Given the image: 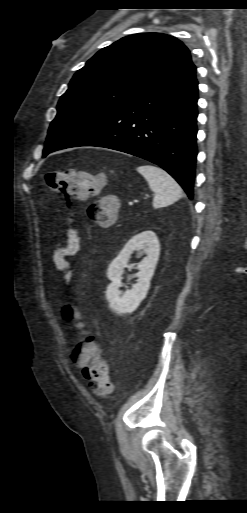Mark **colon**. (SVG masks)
Here are the masks:
<instances>
[{
	"label": "colon",
	"instance_id": "5ec220e1",
	"mask_svg": "<svg viewBox=\"0 0 247 513\" xmlns=\"http://www.w3.org/2000/svg\"><path fill=\"white\" fill-rule=\"evenodd\" d=\"M103 182L104 179L97 178L95 174L75 169L51 171L44 177L45 185L53 191L60 192L66 201L74 198L90 199ZM116 208L114 198L104 196L100 202H92L87 207V217L106 228L116 222ZM63 314L68 320L75 318L74 310L68 305L64 307ZM77 326L83 328L80 322ZM102 353V342L88 336L75 340L69 348V357L74 361L75 371L87 380L89 388L99 396L108 395L112 390L107 364L101 358Z\"/></svg>",
	"mask_w": 247,
	"mask_h": 513
}]
</instances>
